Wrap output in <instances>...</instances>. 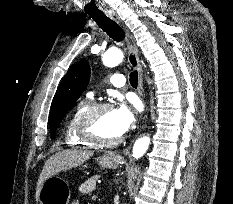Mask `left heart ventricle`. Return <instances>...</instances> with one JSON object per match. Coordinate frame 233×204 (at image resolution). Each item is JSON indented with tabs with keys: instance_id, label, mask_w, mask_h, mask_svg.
Here are the masks:
<instances>
[{
	"instance_id": "1",
	"label": "left heart ventricle",
	"mask_w": 233,
	"mask_h": 204,
	"mask_svg": "<svg viewBox=\"0 0 233 204\" xmlns=\"http://www.w3.org/2000/svg\"><path fill=\"white\" fill-rule=\"evenodd\" d=\"M94 132L102 139H115L121 136L114 125L112 109L105 110L98 115Z\"/></svg>"
}]
</instances>
